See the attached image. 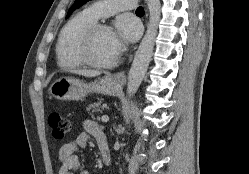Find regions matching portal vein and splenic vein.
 Instances as JSON below:
<instances>
[{
    "label": "portal vein and splenic vein",
    "instance_id": "18ae733b",
    "mask_svg": "<svg viewBox=\"0 0 249 174\" xmlns=\"http://www.w3.org/2000/svg\"><path fill=\"white\" fill-rule=\"evenodd\" d=\"M101 120H102V122H108L109 121V117L107 116V115H103L102 117H101Z\"/></svg>",
    "mask_w": 249,
    "mask_h": 174
}]
</instances>
